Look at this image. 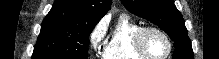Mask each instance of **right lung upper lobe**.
I'll return each mask as SVG.
<instances>
[{
  "label": "right lung upper lobe",
  "mask_w": 219,
  "mask_h": 59,
  "mask_svg": "<svg viewBox=\"0 0 219 59\" xmlns=\"http://www.w3.org/2000/svg\"><path fill=\"white\" fill-rule=\"evenodd\" d=\"M110 6L111 0H55L45 19L97 24Z\"/></svg>",
  "instance_id": "right-lung-upper-lobe-1"
}]
</instances>
